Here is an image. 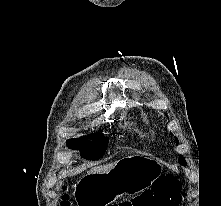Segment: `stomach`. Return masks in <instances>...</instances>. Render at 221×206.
I'll return each instance as SVG.
<instances>
[{"instance_id":"1","label":"stomach","mask_w":221,"mask_h":206,"mask_svg":"<svg viewBox=\"0 0 221 206\" xmlns=\"http://www.w3.org/2000/svg\"><path fill=\"white\" fill-rule=\"evenodd\" d=\"M162 165L155 158L133 155L120 159L102 174H87L80 181L87 185L78 195V206H108L123 194H136L149 188L161 174Z\"/></svg>"}]
</instances>
